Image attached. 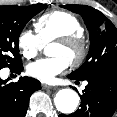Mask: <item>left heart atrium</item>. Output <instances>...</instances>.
<instances>
[{
  "label": "left heart atrium",
  "instance_id": "left-heart-atrium-1",
  "mask_svg": "<svg viewBox=\"0 0 117 117\" xmlns=\"http://www.w3.org/2000/svg\"><path fill=\"white\" fill-rule=\"evenodd\" d=\"M70 65L63 56L42 58L32 62L27 67L28 74L44 83H53L56 77L62 74Z\"/></svg>",
  "mask_w": 117,
  "mask_h": 117
}]
</instances>
